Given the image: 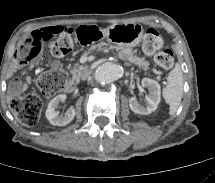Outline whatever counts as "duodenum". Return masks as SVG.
Masks as SVG:
<instances>
[{
    "instance_id": "obj_1",
    "label": "duodenum",
    "mask_w": 215,
    "mask_h": 183,
    "mask_svg": "<svg viewBox=\"0 0 215 183\" xmlns=\"http://www.w3.org/2000/svg\"><path fill=\"white\" fill-rule=\"evenodd\" d=\"M74 87H75L74 83L72 81H69L66 83L64 90L66 92H72L74 90Z\"/></svg>"
}]
</instances>
